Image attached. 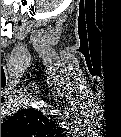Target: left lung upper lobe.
I'll list each match as a JSON object with an SVG mask.
<instances>
[{"instance_id":"obj_1","label":"left lung upper lobe","mask_w":121,"mask_h":137,"mask_svg":"<svg viewBox=\"0 0 121 137\" xmlns=\"http://www.w3.org/2000/svg\"><path fill=\"white\" fill-rule=\"evenodd\" d=\"M57 128L50 116L35 109H24L1 124L2 136H31L50 134Z\"/></svg>"}]
</instances>
